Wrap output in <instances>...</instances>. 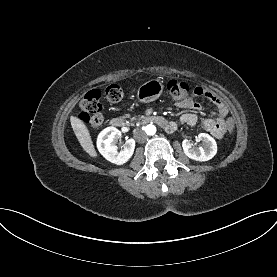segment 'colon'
Wrapping results in <instances>:
<instances>
[{
  "mask_svg": "<svg viewBox=\"0 0 277 277\" xmlns=\"http://www.w3.org/2000/svg\"><path fill=\"white\" fill-rule=\"evenodd\" d=\"M167 91L170 98L176 103L190 99L191 89L188 83L171 79L167 83ZM124 90L116 84L108 86L104 91L100 89H93L89 91L79 104L78 118L86 125L97 127L103 123L104 117L102 112V98H105L111 103H117L124 97ZM226 139L232 140L234 136V129L236 119L228 116L225 119Z\"/></svg>",
  "mask_w": 277,
  "mask_h": 277,
  "instance_id": "obj_1",
  "label": "colon"
}]
</instances>
